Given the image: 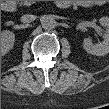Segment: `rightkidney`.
I'll return each instance as SVG.
<instances>
[{
    "label": "right kidney",
    "instance_id": "1",
    "mask_svg": "<svg viewBox=\"0 0 109 109\" xmlns=\"http://www.w3.org/2000/svg\"><path fill=\"white\" fill-rule=\"evenodd\" d=\"M15 35L11 31H3L1 34V52L6 54L13 47Z\"/></svg>",
    "mask_w": 109,
    "mask_h": 109
}]
</instances>
